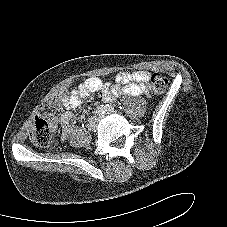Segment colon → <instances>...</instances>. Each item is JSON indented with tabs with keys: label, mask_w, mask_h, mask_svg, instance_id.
<instances>
[{
	"label": "colon",
	"mask_w": 227,
	"mask_h": 227,
	"mask_svg": "<svg viewBox=\"0 0 227 227\" xmlns=\"http://www.w3.org/2000/svg\"><path fill=\"white\" fill-rule=\"evenodd\" d=\"M152 89L156 93H163L168 87V79L160 73L150 75ZM61 106L59 97H50L44 100L40 105V115L34 119L33 129L30 133L32 142L42 148L51 146L52 126L47 117L57 113Z\"/></svg>",
	"instance_id": "colon-1"
}]
</instances>
